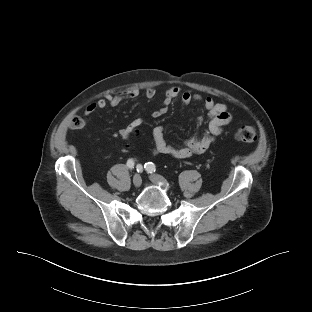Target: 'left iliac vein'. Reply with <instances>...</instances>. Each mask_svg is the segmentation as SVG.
<instances>
[{
  "label": "left iliac vein",
  "instance_id": "1",
  "mask_svg": "<svg viewBox=\"0 0 312 312\" xmlns=\"http://www.w3.org/2000/svg\"><path fill=\"white\" fill-rule=\"evenodd\" d=\"M150 180L153 183H162L164 186H166V181L161 175L153 174L150 176Z\"/></svg>",
  "mask_w": 312,
  "mask_h": 312
}]
</instances>
